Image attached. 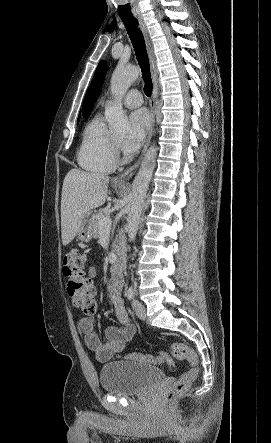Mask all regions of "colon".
<instances>
[{
	"label": "colon",
	"mask_w": 271,
	"mask_h": 443,
	"mask_svg": "<svg viewBox=\"0 0 271 443\" xmlns=\"http://www.w3.org/2000/svg\"><path fill=\"white\" fill-rule=\"evenodd\" d=\"M64 275L68 279L67 292L72 298L76 307L82 309L84 313L94 314L96 311L95 288L89 278L84 275L86 255L76 250L64 256ZM172 356L177 360H186L189 363L187 369L164 393L163 399L167 404L173 403L180 397L195 380L199 372V359L189 345L181 342H174L171 345ZM128 360L162 363L168 366L173 364L172 358L166 352L158 355L144 353H129L125 356Z\"/></svg>",
	"instance_id": "5ec220e1"
}]
</instances>
